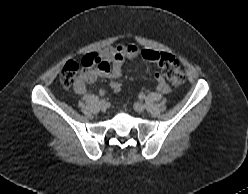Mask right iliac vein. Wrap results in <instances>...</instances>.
Returning <instances> with one entry per match:
<instances>
[{
  "label": "right iliac vein",
  "instance_id": "1",
  "mask_svg": "<svg viewBox=\"0 0 248 194\" xmlns=\"http://www.w3.org/2000/svg\"><path fill=\"white\" fill-rule=\"evenodd\" d=\"M99 106H100V109H101L102 111H106L107 108H108V104H107V102H106L105 100L99 102Z\"/></svg>",
  "mask_w": 248,
  "mask_h": 194
}]
</instances>
